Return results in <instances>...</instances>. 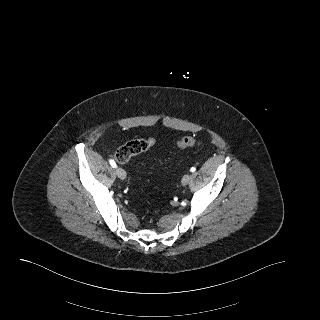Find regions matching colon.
I'll use <instances>...</instances> for the list:
<instances>
[{
    "label": "colon",
    "instance_id": "colon-1",
    "mask_svg": "<svg viewBox=\"0 0 320 320\" xmlns=\"http://www.w3.org/2000/svg\"><path fill=\"white\" fill-rule=\"evenodd\" d=\"M200 139L192 136H185L178 141L180 149H186L199 145ZM151 145L144 139H137L127 142L117 149L115 153V160L118 163H126L132 156L146 151Z\"/></svg>",
    "mask_w": 320,
    "mask_h": 320
}]
</instances>
